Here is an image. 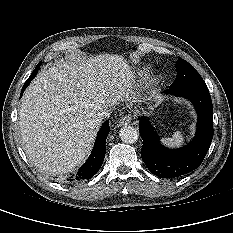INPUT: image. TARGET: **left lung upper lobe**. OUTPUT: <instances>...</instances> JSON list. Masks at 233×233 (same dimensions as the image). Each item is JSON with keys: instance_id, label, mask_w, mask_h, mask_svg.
<instances>
[{"instance_id": "1", "label": "left lung upper lobe", "mask_w": 233, "mask_h": 233, "mask_svg": "<svg viewBox=\"0 0 233 233\" xmlns=\"http://www.w3.org/2000/svg\"><path fill=\"white\" fill-rule=\"evenodd\" d=\"M177 76L169 88L181 86H206L196 69L187 61L179 58L176 64Z\"/></svg>"}]
</instances>
